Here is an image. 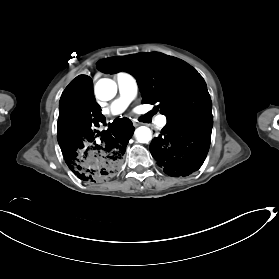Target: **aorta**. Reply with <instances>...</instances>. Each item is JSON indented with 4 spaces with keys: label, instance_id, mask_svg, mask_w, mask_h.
<instances>
[{
    "label": "aorta",
    "instance_id": "762f6f07",
    "mask_svg": "<svg viewBox=\"0 0 279 279\" xmlns=\"http://www.w3.org/2000/svg\"><path fill=\"white\" fill-rule=\"evenodd\" d=\"M117 93L116 83L108 78L100 79L95 86V95L102 101H108L114 98ZM135 136L138 142L148 143L152 138L151 130L146 126H140L135 130Z\"/></svg>",
    "mask_w": 279,
    "mask_h": 279
}]
</instances>
